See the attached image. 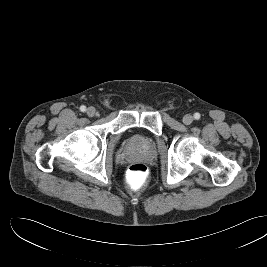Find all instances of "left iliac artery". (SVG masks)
<instances>
[{"instance_id":"1","label":"left iliac artery","mask_w":267,"mask_h":267,"mask_svg":"<svg viewBox=\"0 0 267 267\" xmlns=\"http://www.w3.org/2000/svg\"><path fill=\"white\" fill-rule=\"evenodd\" d=\"M194 118H195L196 120L200 119V114H199V113H195V114H194Z\"/></svg>"}]
</instances>
